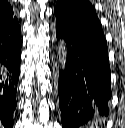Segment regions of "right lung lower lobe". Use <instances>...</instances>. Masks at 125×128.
I'll return each mask as SVG.
<instances>
[{"label": "right lung lower lobe", "mask_w": 125, "mask_h": 128, "mask_svg": "<svg viewBox=\"0 0 125 128\" xmlns=\"http://www.w3.org/2000/svg\"><path fill=\"white\" fill-rule=\"evenodd\" d=\"M20 25L0 30V120L5 128L13 127L17 83L20 72Z\"/></svg>", "instance_id": "98d812e1"}]
</instances>
